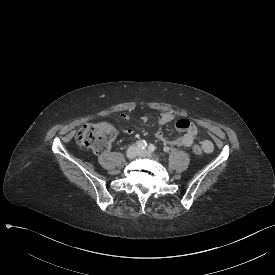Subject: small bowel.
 Masks as SVG:
<instances>
[{
    "mask_svg": "<svg viewBox=\"0 0 275 275\" xmlns=\"http://www.w3.org/2000/svg\"><path fill=\"white\" fill-rule=\"evenodd\" d=\"M113 117L110 114H107L105 116V119L107 121H110ZM120 118L122 120L128 119L127 115L125 113H122L120 115ZM174 121V116L170 112H165L161 115L159 118V125L163 126L169 123H172ZM116 123V122H115ZM176 129L183 133L182 136L174 138V139H168L165 137L161 129H158L155 132V137L163 142L164 144H167L169 146H182V147H191L196 139L198 128L197 126L190 120L186 118H181L176 121L175 123ZM125 134L128 136L133 135L134 130L132 128H128L125 131ZM205 147V151L210 153L213 151V144L209 140L202 141V144Z\"/></svg>",
    "mask_w": 275,
    "mask_h": 275,
    "instance_id": "small-bowel-1",
    "label": "small bowel"
}]
</instances>
